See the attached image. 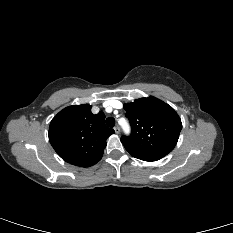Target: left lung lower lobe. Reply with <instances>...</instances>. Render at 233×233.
Wrapping results in <instances>:
<instances>
[{
	"label": "left lung lower lobe",
	"mask_w": 233,
	"mask_h": 233,
	"mask_svg": "<svg viewBox=\"0 0 233 233\" xmlns=\"http://www.w3.org/2000/svg\"><path fill=\"white\" fill-rule=\"evenodd\" d=\"M131 155L134 156L135 158H138L144 161H157L162 158L161 156H152V155H133V154Z\"/></svg>",
	"instance_id": "0a47b994"
}]
</instances>
